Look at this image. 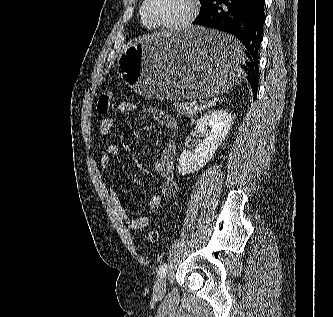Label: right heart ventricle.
I'll use <instances>...</instances> for the list:
<instances>
[{
    "label": "right heart ventricle",
    "instance_id": "1",
    "mask_svg": "<svg viewBox=\"0 0 333 317\" xmlns=\"http://www.w3.org/2000/svg\"><path fill=\"white\" fill-rule=\"evenodd\" d=\"M141 14V12H140ZM141 22L143 24V26L147 29H151L152 27L145 21V19L143 18L142 14H141Z\"/></svg>",
    "mask_w": 333,
    "mask_h": 317
}]
</instances>
